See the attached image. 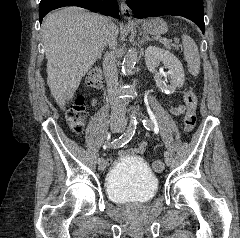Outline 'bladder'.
Segmentation results:
<instances>
[{"label": "bladder", "mask_w": 240, "mask_h": 238, "mask_svg": "<svg viewBox=\"0 0 240 238\" xmlns=\"http://www.w3.org/2000/svg\"><path fill=\"white\" fill-rule=\"evenodd\" d=\"M108 198L121 204H143L154 198L158 179L147 163L133 154H124L106 177Z\"/></svg>", "instance_id": "obj_1"}]
</instances>
